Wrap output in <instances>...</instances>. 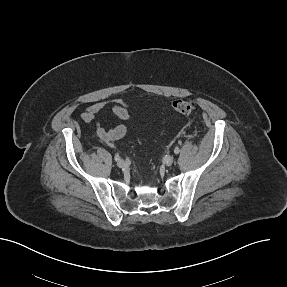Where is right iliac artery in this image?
<instances>
[{"label": "right iliac artery", "mask_w": 287, "mask_h": 287, "mask_svg": "<svg viewBox=\"0 0 287 287\" xmlns=\"http://www.w3.org/2000/svg\"><path fill=\"white\" fill-rule=\"evenodd\" d=\"M114 159H115V161H119V160H120V156H119L118 154H116V155L114 156Z\"/></svg>", "instance_id": "1"}]
</instances>
